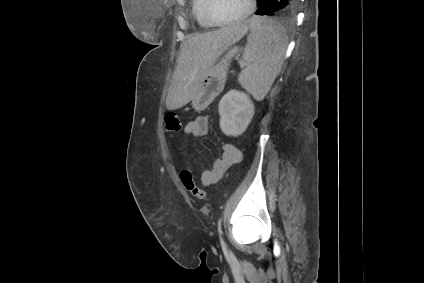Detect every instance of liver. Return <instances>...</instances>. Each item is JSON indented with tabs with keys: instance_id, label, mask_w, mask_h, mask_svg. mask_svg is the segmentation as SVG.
I'll return each mask as SVG.
<instances>
[{
	"instance_id": "1",
	"label": "liver",
	"mask_w": 424,
	"mask_h": 283,
	"mask_svg": "<svg viewBox=\"0 0 424 283\" xmlns=\"http://www.w3.org/2000/svg\"><path fill=\"white\" fill-rule=\"evenodd\" d=\"M248 29L247 22H239L214 31L188 36L181 44L177 66L166 98L167 109H179L189 103L218 57L230 45L240 41Z\"/></svg>"
}]
</instances>
